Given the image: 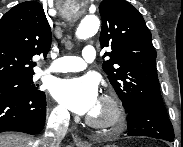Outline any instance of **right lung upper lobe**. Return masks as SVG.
Listing matches in <instances>:
<instances>
[{
	"label": "right lung upper lobe",
	"mask_w": 183,
	"mask_h": 147,
	"mask_svg": "<svg viewBox=\"0 0 183 147\" xmlns=\"http://www.w3.org/2000/svg\"><path fill=\"white\" fill-rule=\"evenodd\" d=\"M51 28L37 1L14 6L0 19V80L34 74V55H47Z\"/></svg>",
	"instance_id": "right-lung-upper-lobe-1"
}]
</instances>
